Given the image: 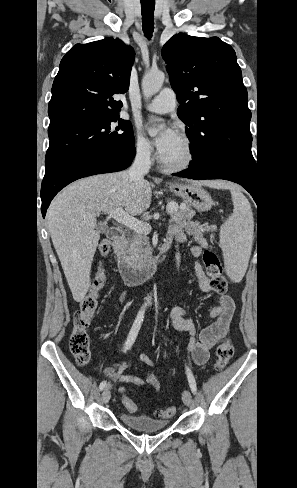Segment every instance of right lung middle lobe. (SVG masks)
Listing matches in <instances>:
<instances>
[{
  "mask_svg": "<svg viewBox=\"0 0 297 488\" xmlns=\"http://www.w3.org/2000/svg\"><path fill=\"white\" fill-rule=\"evenodd\" d=\"M113 121H118L117 127L110 126ZM48 135L50 145L45 157L46 171L82 152L135 144L131 123L118 116L77 123Z\"/></svg>",
  "mask_w": 297,
  "mask_h": 488,
  "instance_id": "dd1d6c3e",
  "label": "right lung middle lobe"
}]
</instances>
